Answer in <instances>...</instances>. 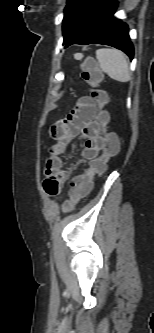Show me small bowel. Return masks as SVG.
<instances>
[{
	"label": "small bowel",
	"instance_id": "obj_1",
	"mask_svg": "<svg viewBox=\"0 0 154 333\" xmlns=\"http://www.w3.org/2000/svg\"><path fill=\"white\" fill-rule=\"evenodd\" d=\"M97 112L96 104L89 97H82L66 118L57 121L50 128L49 134L55 141L49 147L44 171L43 186L47 195L56 196L61 192L69 173L63 167L64 155L78 136L84 139L80 162H91L102 151L104 137L96 120Z\"/></svg>",
	"mask_w": 154,
	"mask_h": 333
}]
</instances>
